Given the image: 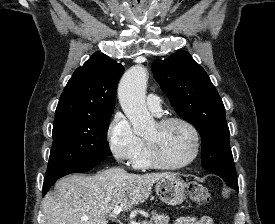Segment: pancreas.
<instances>
[{"label":"pancreas","instance_id":"cf45deb5","mask_svg":"<svg viewBox=\"0 0 275 224\" xmlns=\"http://www.w3.org/2000/svg\"><path fill=\"white\" fill-rule=\"evenodd\" d=\"M151 216L149 221H143L142 224H169L170 218L165 214L152 211Z\"/></svg>","mask_w":275,"mask_h":224}]
</instances>
